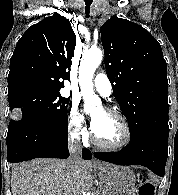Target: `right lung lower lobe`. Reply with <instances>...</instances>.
Returning <instances> with one entry per match:
<instances>
[{"mask_svg":"<svg viewBox=\"0 0 178 195\" xmlns=\"http://www.w3.org/2000/svg\"><path fill=\"white\" fill-rule=\"evenodd\" d=\"M6 142L8 162L34 158H68L67 119L53 121L23 119L10 122ZM82 157L90 160L92 154L84 148Z\"/></svg>","mask_w":178,"mask_h":195,"instance_id":"obj_1","label":"right lung lower lobe"}]
</instances>
